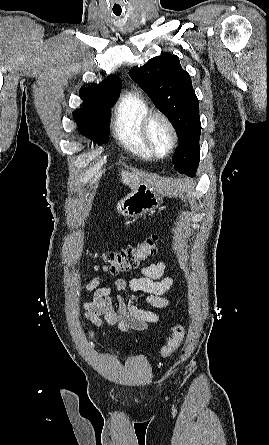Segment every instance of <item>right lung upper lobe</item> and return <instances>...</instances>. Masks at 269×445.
I'll use <instances>...</instances> for the list:
<instances>
[{
	"instance_id": "obj_1",
	"label": "right lung upper lobe",
	"mask_w": 269,
	"mask_h": 445,
	"mask_svg": "<svg viewBox=\"0 0 269 445\" xmlns=\"http://www.w3.org/2000/svg\"><path fill=\"white\" fill-rule=\"evenodd\" d=\"M121 85V79L118 76L110 75L99 84H92L89 88H81L80 97L84 100L82 110L94 106L114 104L120 94Z\"/></svg>"
}]
</instances>
